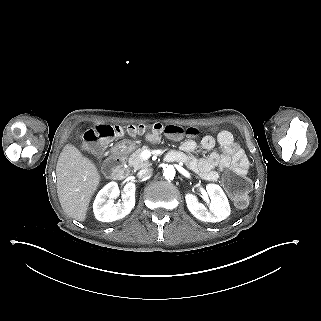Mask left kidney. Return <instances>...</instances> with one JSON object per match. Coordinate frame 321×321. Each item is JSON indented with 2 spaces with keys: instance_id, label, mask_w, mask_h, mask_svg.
<instances>
[{
  "instance_id": "left-kidney-1",
  "label": "left kidney",
  "mask_w": 321,
  "mask_h": 321,
  "mask_svg": "<svg viewBox=\"0 0 321 321\" xmlns=\"http://www.w3.org/2000/svg\"><path fill=\"white\" fill-rule=\"evenodd\" d=\"M207 192L210 197L209 209L199 203L198 197L193 193L185 195L187 208L200 221L221 222L230 215V205L227 197L219 185L208 184Z\"/></svg>"
}]
</instances>
